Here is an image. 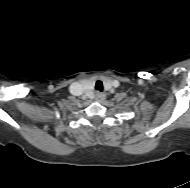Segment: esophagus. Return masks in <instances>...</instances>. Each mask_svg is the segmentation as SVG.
<instances>
[{"instance_id": "esophagus-1", "label": "esophagus", "mask_w": 190, "mask_h": 188, "mask_svg": "<svg viewBox=\"0 0 190 188\" xmlns=\"http://www.w3.org/2000/svg\"><path fill=\"white\" fill-rule=\"evenodd\" d=\"M105 94L104 93H101V92H97L95 94V99L98 101V102H102L104 99H105Z\"/></svg>"}]
</instances>
